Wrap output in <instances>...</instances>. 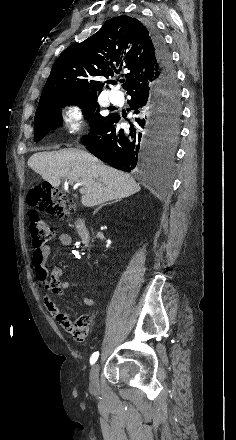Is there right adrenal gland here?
Instances as JSON below:
<instances>
[{"label":"right adrenal gland","mask_w":236,"mask_h":440,"mask_svg":"<svg viewBox=\"0 0 236 440\" xmlns=\"http://www.w3.org/2000/svg\"><path fill=\"white\" fill-rule=\"evenodd\" d=\"M117 201H120V200H115V201H112V202H109V203L103 204V205H101L100 207H98V208L96 209L95 212H97V211H98L100 208H102L103 206H105V205H107V204L115 203V202H117Z\"/></svg>","instance_id":"2a0ac1e0"}]
</instances>
